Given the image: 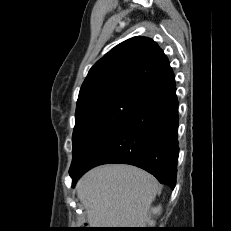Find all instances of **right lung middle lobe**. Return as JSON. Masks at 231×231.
Returning <instances> with one entry per match:
<instances>
[{"label":"right lung middle lobe","mask_w":231,"mask_h":231,"mask_svg":"<svg viewBox=\"0 0 231 231\" xmlns=\"http://www.w3.org/2000/svg\"><path fill=\"white\" fill-rule=\"evenodd\" d=\"M144 102L132 94H112L77 109L70 170L78 168L93 149L135 114Z\"/></svg>","instance_id":"right-lung-middle-lobe-1"}]
</instances>
